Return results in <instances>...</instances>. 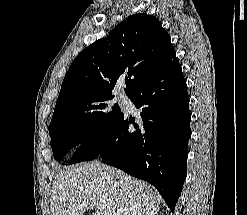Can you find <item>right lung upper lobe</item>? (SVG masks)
<instances>
[{"label":"right lung upper lobe","instance_id":"obj_1","mask_svg":"<svg viewBox=\"0 0 247 215\" xmlns=\"http://www.w3.org/2000/svg\"><path fill=\"white\" fill-rule=\"evenodd\" d=\"M174 49L171 38L154 16L135 14L109 35L85 48L62 82L55 110L99 95H111L119 78L129 95L154 73Z\"/></svg>","mask_w":247,"mask_h":215}]
</instances>
